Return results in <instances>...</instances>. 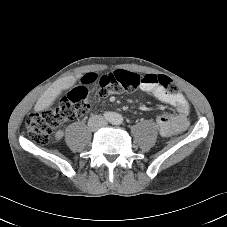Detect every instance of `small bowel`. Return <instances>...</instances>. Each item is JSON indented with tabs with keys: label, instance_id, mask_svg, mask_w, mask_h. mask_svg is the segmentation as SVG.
Instances as JSON below:
<instances>
[{
	"label": "small bowel",
	"instance_id": "obj_1",
	"mask_svg": "<svg viewBox=\"0 0 227 227\" xmlns=\"http://www.w3.org/2000/svg\"><path fill=\"white\" fill-rule=\"evenodd\" d=\"M95 82L96 77L93 74H88L82 79V84L85 87H90ZM141 89L144 92L152 94L159 101L176 108V112L172 115L160 114L157 116L156 124L159 133L162 136L170 137L187 129L189 125V104L181 93L172 94L165 90L162 86L153 84H142ZM56 137L60 138L61 133H57Z\"/></svg>",
	"mask_w": 227,
	"mask_h": 227
}]
</instances>
